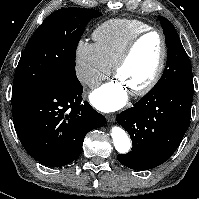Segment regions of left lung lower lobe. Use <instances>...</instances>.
Listing matches in <instances>:
<instances>
[{
    "mask_svg": "<svg viewBox=\"0 0 199 199\" xmlns=\"http://www.w3.org/2000/svg\"><path fill=\"white\" fill-rule=\"evenodd\" d=\"M193 85H178L162 92H148L133 107L117 116L133 143L118 161L134 170L155 168L176 151L191 116Z\"/></svg>",
    "mask_w": 199,
    "mask_h": 199,
    "instance_id": "obj_1",
    "label": "left lung lower lobe"
}]
</instances>
